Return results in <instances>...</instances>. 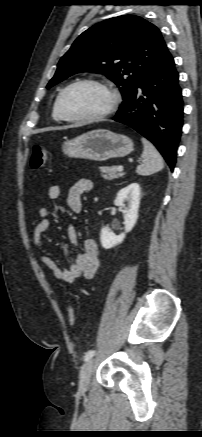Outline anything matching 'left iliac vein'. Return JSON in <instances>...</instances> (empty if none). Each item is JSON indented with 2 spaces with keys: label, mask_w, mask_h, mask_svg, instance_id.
Wrapping results in <instances>:
<instances>
[{
  "label": "left iliac vein",
  "mask_w": 202,
  "mask_h": 437,
  "mask_svg": "<svg viewBox=\"0 0 202 437\" xmlns=\"http://www.w3.org/2000/svg\"><path fill=\"white\" fill-rule=\"evenodd\" d=\"M93 365H94V360L90 359L82 366L80 370L79 386L83 390H87L89 388Z\"/></svg>",
  "instance_id": "obj_1"
}]
</instances>
